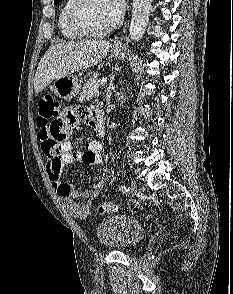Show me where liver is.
<instances>
[{"label":"liver","mask_w":233,"mask_h":294,"mask_svg":"<svg viewBox=\"0 0 233 294\" xmlns=\"http://www.w3.org/2000/svg\"><path fill=\"white\" fill-rule=\"evenodd\" d=\"M111 44L104 40L70 41L52 45L40 60L34 79L35 93L53 80L99 63Z\"/></svg>","instance_id":"obj_1"}]
</instances>
